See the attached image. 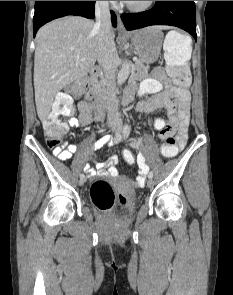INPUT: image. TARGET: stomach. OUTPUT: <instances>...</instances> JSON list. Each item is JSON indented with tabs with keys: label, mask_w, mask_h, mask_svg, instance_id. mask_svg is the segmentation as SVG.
Here are the masks:
<instances>
[{
	"label": "stomach",
	"mask_w": 233,
	"mask_h": 295,
	"mask_svg": "<svg viewBox=\"0 0 233 295\" xmlns=\"http://www.w3.org/2000/svg\"><path fill=\"white\" fill-rule=\"evenodd\" d=\"M128 36L140 60L153 63L158 60L163 43V32L157 26H150L130 32Z\"/></svg>",
	"instance_id": "1"
}]
</instances>
